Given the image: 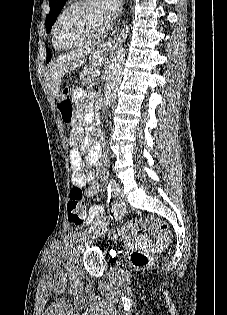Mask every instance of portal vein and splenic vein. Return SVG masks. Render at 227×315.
<instances>
[{"label": "portal vein and splenic vein", "instance_id": "portal-vein-and-splenic-vein-1", "mask_svg": "<svg viewBox=\"0 0 227 315\" xmlns=\"http://www.w3.org/2000/svg\"><path fill=\"white\" fill-rule=\"evenodd\" d=\"M99 75L98 71H94V77H97Z\"/></svg>", "mask_w": 227, "mask_h": 315}]
</instances>
